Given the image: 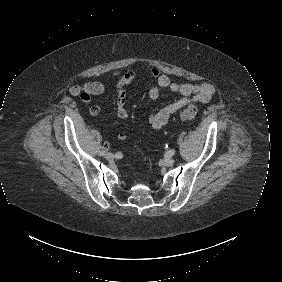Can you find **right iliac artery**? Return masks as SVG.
Instances as JSON below:
<instances>
[{
	"label": "right iliac artery",
	"mask_w": 282,
	"mask_h": 282,
	"mask_svg": "<svg viewBox=\"0 0 282 282\" xmlns=\"http://www.w3.org/2000/svg\"><path fill=\"white\" fill-rule=\"evenodd\" d=\"M100 155H101V156L105 155V151H104V150L101 151V152H100Z\"/></svg>",
	"instance_id": "obj_1"
}]
</instances>
